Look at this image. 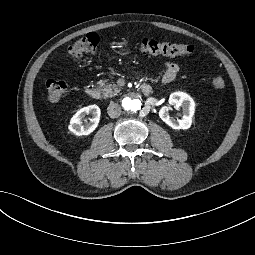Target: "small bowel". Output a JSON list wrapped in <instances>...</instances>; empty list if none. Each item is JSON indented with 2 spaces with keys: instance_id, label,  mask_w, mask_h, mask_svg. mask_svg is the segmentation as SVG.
<instances>
[{
  "instance_id": "c3829d8e",
  "label": "small bowel",
  "mask_w": 255,
  "mask_h": 255,
  "mask_svg": "<svg viewBox=\"0 0 255 255\" xmlns=\"http://www.w3.org/2000/svg\"><path fill=\"white\" fill-rule=\"evenodd\" d=\"M179 65L174 61H166L165 62V70L162 75V82L164 84L171 83L175 80L179 73Z\"/></svg>"
}]
</instances>
